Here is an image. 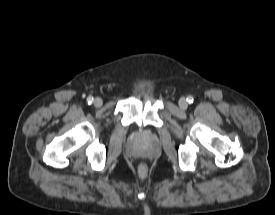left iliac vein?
Instances as JSON below:
<instances>
[{
    "label": "left iliac vein",
    "mask_w": 275,
    "mask_h": 215,
    "mask_svg": "<svg viewBox=\"0 0 275 215\" xmlns=\"http://www.w3.org/2000/svg\"><path fill=\"white\" fill-rule=\"evenodd\" d=\"M179 106L181 109H186L188 106L187 100L185 98H181L179 100Z\"/></svg>",
    "instance_id": "4c4485c4"
}]
</instances>
